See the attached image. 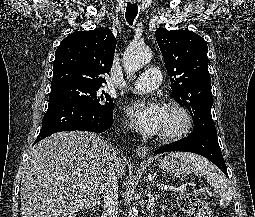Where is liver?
<instances>
[{
	"mask_svg": "<svg viewBox=\"0 0 255 217\" xmlns=\"http://www.w3.org/2000/svg\"><path fill=\"white\" fill-rule=\"evenodd\" d=\"M113 146L96 133L59 132L30 151L21 181L22 217H66L99 202ZM120 176L125 165L113 160Z\"/></svg>",
	"mask_w": 255,
	"mask_h": 217,
	"instance_id": "1",
	"label": "liver"
}]
</instances>
